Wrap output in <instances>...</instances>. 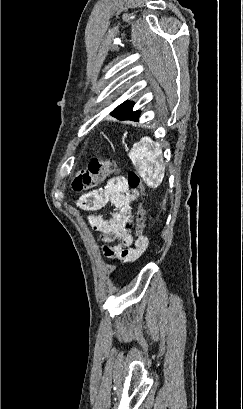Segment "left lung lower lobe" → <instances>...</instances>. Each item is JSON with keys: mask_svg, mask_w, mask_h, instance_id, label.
Instances as JSON below:
<instances>
[{"mask_svg": "<svg viewBox=\"0 0 243 409\" xmlns=\"http://www.w3.org/2000/svg\"><path fill=\"white\" fill-rule=\"evenodd\" d=\"M139 111L133 112L132 109L125 111L124 113L112 114L111 115L118 120H131V121H138L139 119Z\"/></svg>", "mask_w": 243, "mask_h": 409, "instance_id": "left-lung-lower-lobe-1", "label": "left lung lower lobe"}]
</instances>
